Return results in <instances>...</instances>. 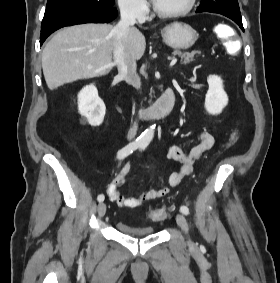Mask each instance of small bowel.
Returning <instances> with one entry per match:
<instances>
[{"instance_id": "obj_1", "label": "small bowel", "mask_w": 280, "mask_h": 283, "mask_svg": "<svg viewBox=\"0 0 280 283\" xmlns=\"http://www.w3.org/2000/svg\"><path fill=\"white\" fill-rule=\"evenodd\" d=\"M237 132L235 130L230 139ZM215 139L213 135L208 132H202L197 137V142L192 146L189 153H185L181 147L171 145L168 148L167 157L173 162L180 164V170L174 172L169 176V184L171 187H176L184 178L190 176L193 172L194 163L201 158V156L213 148ZM131 166L129 163L123 165L119 173L112 179L107 187V194L109 199L120 208L136 209L141 207L146 201L159 199L168 194L169 189L153 188L142 193L137 197H126L119 192V187L125 181L129 174Z\"/></svg>"}]
</instances>
